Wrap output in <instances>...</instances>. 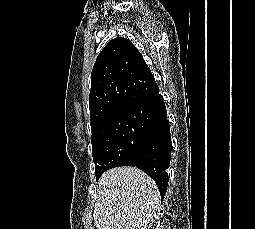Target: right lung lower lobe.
Returning a JSON list of instances; mask_svg holds the SVG:
<instances>
[{
	"label": "right lung lower lobe",
	"instance_id": "right-lung-lower-lobe-1",
	"mask_svg": "<svg viewBox=\"0 0 255 229\" xmlns=\"http://www.w3.org/2000/svg\"><path fill=\"white\" fill-rule=\"evenodd\" d=\"M129 114L142 118L147 128L135 166L148 174L157 184L161 199L168 186L167 168L171 159V134L167 109L159 88L140 102L126 108Z\"/></svg>",
	"mask_w": 255,
	"mask_h": 229
}]
</instances>
